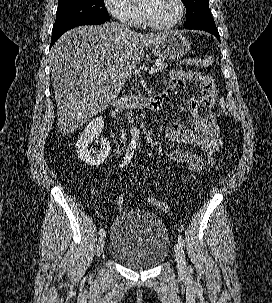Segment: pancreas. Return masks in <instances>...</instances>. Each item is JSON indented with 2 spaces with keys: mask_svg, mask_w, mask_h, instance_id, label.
I'll return each mask as SVG.
<instances>
[{
  "mask_svg": "<svg viewBox=\"0 0 272 303\" xmlns=\"http://www.w3.org/2000/svg\"><path fill=\"white\" fill-rule=\"evenodd\" d=\"M168 66L167 63L164 62L163 59H157L155 64H154V68L159 71L162 72L164 71V69Z\"/></svg>",
  "mask_w": 272,
  "mask_h": 303,
  "instance_id": "obj_1",
  "label": "pancreas"
}]
</instances>
